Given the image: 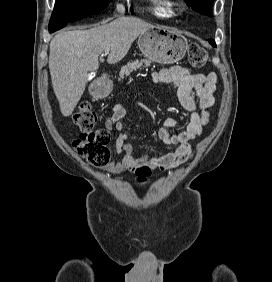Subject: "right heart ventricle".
<instances>
[{
	"instance_id": "obj_1",
	"label": "right heart ventricle",
	"mask_w": 272,
	"mask_h": 282,
	"mask_svg": "<svg viewBox=\"0 0 272 282\" xmlns=\"http://www.w3.org/2000/svg\"><path fill=\"white\" fill-rule=\"evenodd\" d=\"M154 1V12L161 18H169L173 15L172 3L169 0H152Z\"/></svg>"
}]
</instances>
